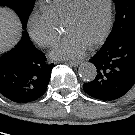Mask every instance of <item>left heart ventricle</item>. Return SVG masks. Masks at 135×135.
<instances>
[{
	"mask_svg": "<svg viewBox=\"0 0 135 135\" xmlns=\"http://www.w3.org/2000/svg\"><path fill=\"white\" fill-rule=\"evenodd\" d=\"M107 15L108 0H83L76 18L63 24L64 33L89 45L103 33Z\"/></svg>",
	"mask_w": 135,
	"mask_h": 135,
	"instance_id": "left-heart-ventricle-1",
	"label": "left heart ventricle"
}]
</instances>
